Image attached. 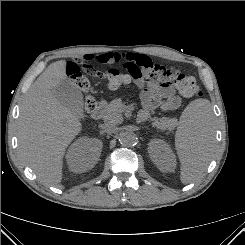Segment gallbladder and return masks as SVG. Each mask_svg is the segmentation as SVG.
I'll return each instance as SVG.
<instances>
[{
    "label": "gallbladder",
    "instance_id": "obj_1",
    "mask_svg": "<svg viewBox=\"0 0 245 245\" xmlns=\"http://www.w3.org/2000/svg\"><path fill=\"white\" fill-rule=\"evenodd\" d=\"M53 94L60 104L67 107L76 116H83V95L70 80L61 81L53 89Z\"/></svg>",
    "mask_w": 245,
    "mask_h": 245
}]
</instances>
